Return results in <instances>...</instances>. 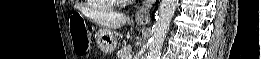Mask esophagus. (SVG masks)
Masks as SVG:
<instances>
[{"label":"esophagus","instance_id":"obj_1","mask_svg":"<svg viewBox=\"0 0 261 59\" xmlns=\"http://www.w3.org/2000/svg\"><path fill=\"white\" fill-rule=\"evenodd\" d=\"M156 0H146L143 4L139 7L135 14V20L137 24L140 25H147L150 21V10L155 3Z\"/></svg>","mask_w":261,"mask_h":59}]
</instances>
